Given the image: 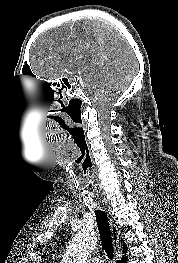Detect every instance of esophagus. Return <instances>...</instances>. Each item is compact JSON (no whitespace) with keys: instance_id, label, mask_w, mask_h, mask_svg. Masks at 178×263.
I'll return each mask as SVG.
<instances>
[{"instance_id":"obj_1","label":"esophagus","mask_w":178,"mask_h":263,"mask_svg":"<svg viewBox=\"0 0 178 263\" xmlns=\"http://www.w3.org/2000/svg\"><path fill=\"white\" fill-rule=\"evenodd\" d=\"M110 227H111V233H112V239H113V243H114V247H118L119 244V232L118 229L116 227V225L114 224L113 220L110 218Z\"/></svg>"}]
</instances>
